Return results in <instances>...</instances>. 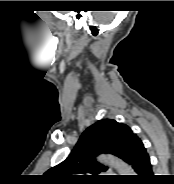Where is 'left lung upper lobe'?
<instances>
[{
    "label": "left lung upper lobe",
    "instance_id": "1",
    "mask_svg": "<svg viewBox=\"0 0 174 184\" xmlns=\"http://www.w3.org/2000/svg\"><path fill=\"white\" fill-rule=\"evenodd\" d=\"M140 141L130 127L112 119H101L80 136L68 158L46 172L56 184H92L107 167L96 162L101 153H111L127 162Z\"/></svg>",
    "mask_w": 174,
    "mask_h": 184
}]
</instances>
